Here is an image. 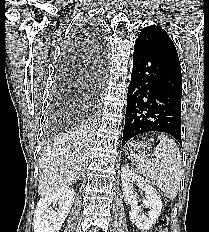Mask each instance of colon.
Returning a JSON list of instances; mask_svg holds the SVG:
<instances>
[{
    "label": "colon",
    "instance_id": "colon-1",
    "mask_svg": "<svg viewBox=\"0 0 209 232\" xmlns=\"http://www.w3.org/2000/svg\"><path fill=\"white\" fill-rule=\"evenodd\" d=\"M168 225V218L166 216L161 217L156 223L155 232H166L165 228Z\"/></svg>",
    "mask_w": 209,
    "mask_h": 232
}]
</instances>
